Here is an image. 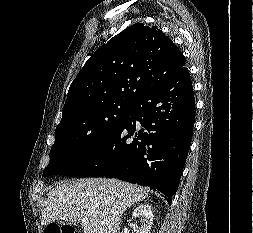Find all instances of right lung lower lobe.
<instances>
[{"mask_svg": "<svg viewBox=\"0 0 253 233\" xmlns=\"http://www.w3.org/2000/svg\"><path fill=\"white\" fill-rule=\"evenodd\" d=\"M194 118L192 83L183 67L150 86L101 147L60 174L151 186L171 204L188 155Z\"/></svg>", "mask_w": 253, "mask_h": 233, "instance_id": "98d812e1", "label": "right lung lower lobe"}]
</instances>
